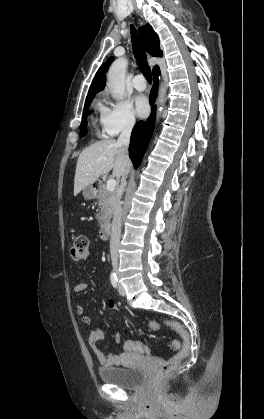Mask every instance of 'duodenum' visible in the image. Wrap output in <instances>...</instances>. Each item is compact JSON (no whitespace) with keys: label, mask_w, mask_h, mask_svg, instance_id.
<instances>
[{"label":"duodenum","mask_w":264,"mask_h":419,"mask_svg":"<svg viewBox=\"0 0 264 419\" xmlns=\"http://www.w3.org/2000/svg\"><path fill=\"white\" fill-rule=\"evenodd\" d=\"M112 233V225L110 223H106L101 227L100 236L102 239L107 240L110 238Z\"/></svg>","instance_id":"duodenum-1"}]
</instances>
